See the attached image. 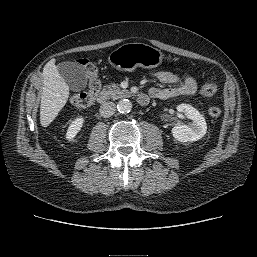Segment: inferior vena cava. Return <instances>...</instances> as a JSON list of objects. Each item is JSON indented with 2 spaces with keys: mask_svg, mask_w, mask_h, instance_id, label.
<instances>
[{
  "mask_svg": "<svg viewBox=\"0 0 257 257\" xmlns=\"http://www.w3.org/2000/svg\"><path fill=\"white\" fill-rule=\"evenodd\" d=\"M116 111V105L113 102H106L101 105L100 107V114L103 117H110L112 116Z\"/></svg>",
  "mask_w": 257,
  "mask_h": 257,
  "instance_id": "602c4592",
  "label": "inferior vena cava"
}]
</instances>
